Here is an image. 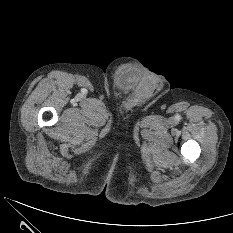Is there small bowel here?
Returning a JSON list of instances; mask_svg holds the SVG:
<instances>
[{
  "instance_id": "obj_1",
  "label": "small bowel",
  "mask_w": 233,
  "mask_h": 233,
  "mask_svg": "<svg viewBox=\"0 0 233 233\" xmlns=\"http://www.w3.org/2000/svg\"><path fill=\"white\" fill-rule=\"evenodd\" d=\"M136 81V73L129 67H122L117 72V82L123 89H129Z\"/></svg>"
}]
</instances>
